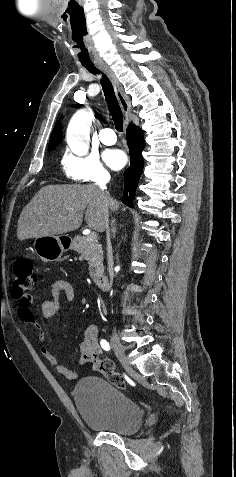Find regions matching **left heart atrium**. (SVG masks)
Returning <instances> with one entry per match:
<instances>
[{
    "instance_id": "obj_1",
    "label": "left heart atrium",
    "mask_w": 236,
    "mask_h": 477,
    "mask_svg": "<svg viewBox=\"0 0 236 477\" xmlns=\"http://www.w3.org/2000/svg\"><path fill=\"white\" fill-rule=\"evenodd\" d=\"M104 159L107 165L114 170L122 168L127 161L126 154L119 149L107 150L104 153Z\"/></svg>"
}]
</instances>
